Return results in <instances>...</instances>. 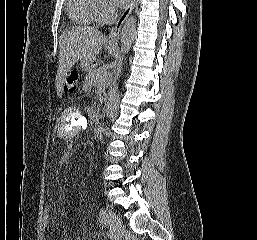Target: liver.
<instances>
[{
    "label": "liver",
    "mask_w": 257,
    "mask_h": 240,
    "mask_svg": "<svg viewBox=\"0 0 257 240\" xmlns=\"http://www.w3.org/2000/svg\"><path fill=\"white\" fill-rule=\"evenodd\" d=\"M105 36L94 27H78L59 38V61L56 75L57 95L61 97L65 79L73 65L80 61H94L100 53Z\"/></svg>",
    "instance_id": "1"
}]
</instances>
